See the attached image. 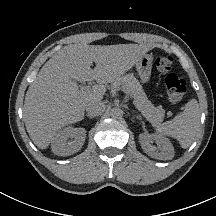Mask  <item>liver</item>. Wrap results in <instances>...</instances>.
<instances>
[{"mask_svg":"<svg viewBox=\"0 0 216 216\" xmlns=\"http://www.w3.org/2000/svg\"><path fill=\"white\" fill-rule=\"evenodd\" d=\"M150 49L144 44L79 43L58 51L41 68L25 96L24 121L33 143L46 149L62 127L81 121L86 105L103 99L106 84L129 71ZM72 80H96L97 85L81 92Z\"/></svg>","mask_w":216,"mask_h":216,"instance_id":"6515ba94","label":"liver"}]
</instances>
